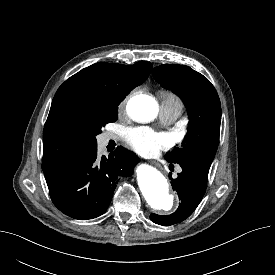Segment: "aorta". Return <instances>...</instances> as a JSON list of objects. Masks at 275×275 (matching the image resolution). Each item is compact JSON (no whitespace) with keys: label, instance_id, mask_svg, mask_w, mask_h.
<instances>
[{"label":"aorta","instance_id":"1","mask_svg":"<svg viewBox=\"0 0 275 275\" xmlns=\"http://www.w3.org/2000/svg\"><path fill=\"white\" fill-rule=\"evenodd\" d=\"M128 115L137 122H150L158 113L156 100L149 95L139 94L127 103ZM139 188L154 210L169 211L173 207L174 196L169 193V184L163 174L150 165H140L137 170Z\"/></svg>","mask_w":275,"mask_h":275}]
</instances>
